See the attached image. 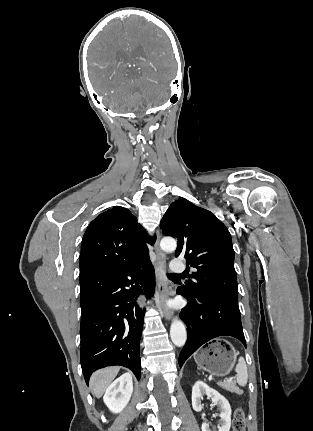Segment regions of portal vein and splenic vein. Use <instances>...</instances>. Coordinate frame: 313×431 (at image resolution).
Listing matches in <instances>:
<instances>
[{
  "label": "portal vein and splenic vein",
  "mask_w": 313,
  "mask_h": 431,
  "mask_svg": "<svg viewBox=\"0 0 313 431\" xmlns=\"http://www.w3.org/2000/svg\"><path fill=\"white\" fill-rule=\"evenodd\" d=\"M226 381H227V382H230V381H232V378L227 379ZM218 383H219V384H221V383H222V381H219Z\"/></svg>",
  "instance_id": "18ae733b"
}]
</instances>
